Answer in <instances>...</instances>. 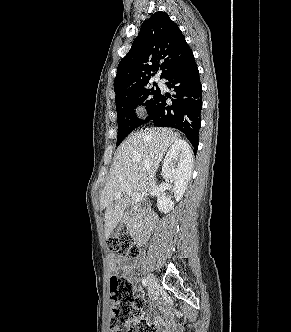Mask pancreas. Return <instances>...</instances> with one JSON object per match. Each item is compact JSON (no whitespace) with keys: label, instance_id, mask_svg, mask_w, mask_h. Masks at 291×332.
Listing matches in <instances>:
<instances>
[{"label":"pancreas","instance_id":"1","mask_svg":"<svg viewBox=\"0 0 291 332\" xmlns=\"http://www.w3.org/2000/svg\"><path fill=\"white\" fill-rule=\"evenodd\" d=\"M137 219L138 217L137 216H133L130 220L127 221V229L130 231V232H134L137 228Z\"/></svg>","mask_w":291,"mask_h":332}]
</instances>
